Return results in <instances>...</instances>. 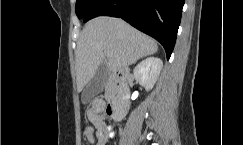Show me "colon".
Returning <instances> with one entry per match:
<instances>
[{"instance_id":"5ec220e1","label":"colon","mask_w":243,"mask_h":145,"mask_svg":"<svg viewBox=\"0 0 243 145\" xmlns=\"http://www.w3.org/2000/svg\"><path fill=\"white\" fill-rule=\"evenodd\" d=\"M98 127L94 124V127L90 126V125H87L85 126L84 130H83V134L84 136L86 137H91L92 134L97 131Z\"/></svg>"}]
</instances>
